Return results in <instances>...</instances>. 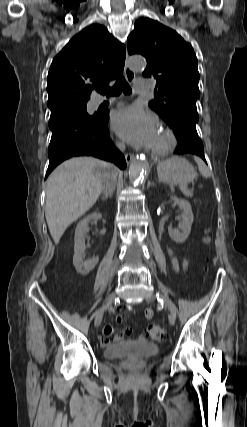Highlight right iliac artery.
<instances>
[{"mask_svg":"<svg viewBox=\"0 0 247 427\" xmlns=\"http://www.w3.org/2000/svg\"><path fill=\"white\" fill-rule=\"evenodd\" d=\"M106 308H107V307H102L101 309H104V310H105ZM101 309H100V310H101Z\"/></svg>","mask_w":247,"mask_h":427,"instance_id":"obj_1","label":"right iliac artery"}]
</instances>
